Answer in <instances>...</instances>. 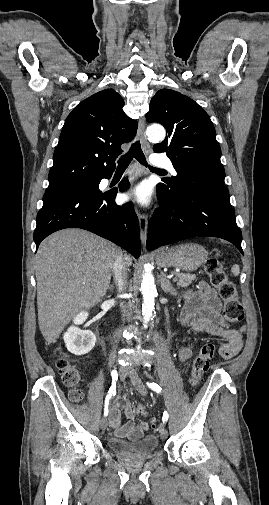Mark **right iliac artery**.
I'll list each match as a JSON object with an SVG mask.
<instances>
[{
  "label": "right iliac artery",
  "mask_w": 269,
  "mask_h": 505,
  "mask_svg": "<svg viewBox=\"0 0 269 505\" xmlns=\"http://www.w3.org/2000/svg\"><path fill=\"white\" fill-rule=\"evenodd\" d=\"M111 376H112V379H113V381H112V386H111V388L109 389L108 394H107V396H106V398H105V406H104V416H105V417H106V416L108 415V413H109V402H110V400H111V397H112V396H115V394H116V381H117V379H118V373H117V371H116V370H113V371L111 372Z\"/></svg>",
  "instance_id": "82829eb1"
}]
</instances>
